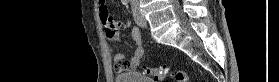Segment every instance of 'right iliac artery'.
Masks as SVG:
<instances>
[{
  "instance_id": "right-iliac-artery-1",
  "label": "right iliac artery",
  "mask_w": 279,
  "mask_h": 82,
  "mask_svg": "<svg viewBox=\"0 0 279 82\" xmlns=\"http://www.w3.org/2000/svg\"><path fill=\"white\" fill-rule=\"evenodd\" d=\"M122 3H123L124 5H127V4L129 3V0H122Z\"/></svg>"
}]
</instances>
